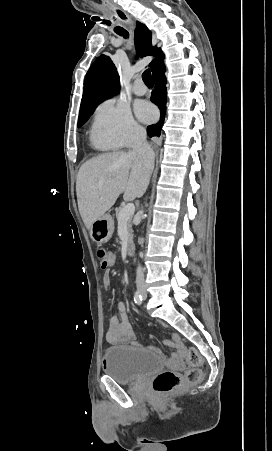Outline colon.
I'll return each instance as SVG.
<instances>
[{
	"label": "colon",
	"mask_w": 272,
	"mask_h": 451,
	"mask_svg": "<svg viewBox=\"0 0 272 451\" xmlns=\"http://www.w3.org/2000/svg\"><path fill=\"white\" fill-rule=\"evenodd\" d=\"M97 257L101 269L108 268L113 260V255L104 249L97 251ZM201 363L200 357L192 348H183L173 358V367L162 371L153 380V388L158 393H171L179 386H189L201 379V372L197 366Z\"/></svg>",
	"instance_id": "colon-1"
}]
</instances>
